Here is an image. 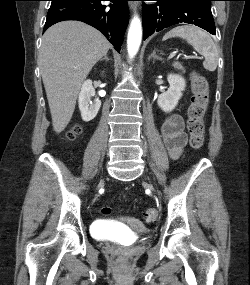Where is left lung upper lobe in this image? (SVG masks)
I'll return each instance as SVG.
<instances>
[{"instance_id": "5c2ea615", "label": "left lung upper lobe", "mask_w": 250, "mask_h": 285, "mask_svg": "<svg viewBox=\"0 0 250 285\" xmlns=\"http://www.w3.org/2000/svg\"><path fill=\"white\" fill-rule=\"evenodd\" d=\"M203 1L208 2V3H211V1H213V0H203Z\"/></svg>"}]
</instances>
